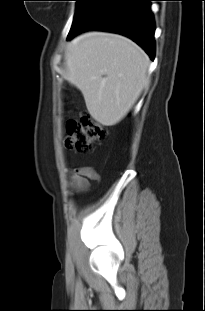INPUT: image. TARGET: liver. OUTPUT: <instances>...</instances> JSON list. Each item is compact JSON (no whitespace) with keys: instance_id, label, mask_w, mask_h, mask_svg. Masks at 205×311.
<instances>
[{"instance_id":"1","label":"liver","mask_w":205,"mask_h":311,"mask_svg":"<svg viewBox=\"0 0 205 311\" xmlns=\"http://www.w3.org/2000/svg\"><path fill=\"white\" fill-rule=\"evenodd\" d=\"M149 64L147 54L130 39L88 32L68 45L65 78L82 92L91 117L113 126L148 84Z\"/></svg>"}]
</instances>
